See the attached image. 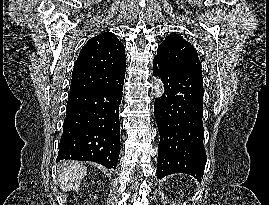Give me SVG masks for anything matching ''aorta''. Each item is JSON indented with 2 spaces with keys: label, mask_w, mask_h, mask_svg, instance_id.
I'll return each instance as SVG.
<instances>
[{
  "label": "aorta",
  "mask_w": 269,
  "mask_h": 205,
  "mask_svg": "<svg viewBox=\"0 0 269 205\" xmlns=\"http://www.w3.org/2000/svg\"><path fill=\"white\" fill-rule=\"evenodd\" d=\"M153 90H154V95L157 98L162 97V95L164 94V85H163V82L161 81V79L156 78L154 80Z\"/></svg>",
  "instance_id": "1"
}]
</instances>
